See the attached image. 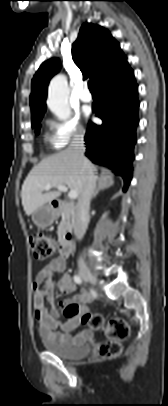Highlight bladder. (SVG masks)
<instances>
[{
  "label": "bladder",
  "mask_w": 168,
  "mask_h": 406,
  "mask_svg": "<svg viewBox=\"0 0 168 406\" xmlns=\"http://www.w3.org/2000/svg\"><path fill=\"white\" fill-rule=\"evenodd\" d=\"M42 343L46 351L64 359L73 360L83 358L88 355L90 351L89 345L86 342H76L71 345H63L43 337Z\"/></svg>",
  "instance_id": "bladder-1"
}]
</instances>
